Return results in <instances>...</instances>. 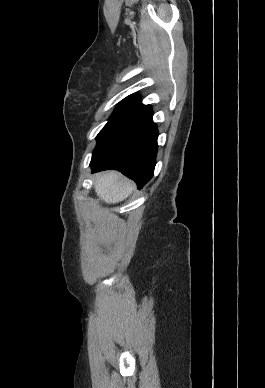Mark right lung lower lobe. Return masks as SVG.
I'll return each instance as SVG.
<instances>
[{"instance_id": "1", "label": "right lung lower lobe", "mask_w": 265, "mask_h": 388, "mask_svg": "<svg viewBox=\"0 0 265 388\" xmlns=\"http://www.w3.org/2000/svg\"><path fill=\"white\" fill-rule=\"evenodd\" d=\"M147 106L113 136L95 148L91 170L117 169L141 189L153 176L157 153V126Z\"/></svg>"}]
</instances>
